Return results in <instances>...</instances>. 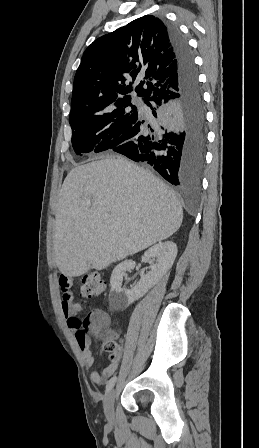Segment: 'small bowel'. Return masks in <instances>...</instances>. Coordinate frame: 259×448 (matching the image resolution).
<instances>
[{"label":"small bowel","mask_w":259,"mask_h":448,"mask_svg":"<svg viewBox=\"0 0 259 448\" xmlns=\"http://www.w3.org/2000/svg\"><path fill=\"white\" fill-rule=\"evenodd\" d=\"M72 282L73 278L70 276L63 274L58 276V284L62 290V311L69 328L76 331V339L85 361V365L88 368H91L95 364V357L91 350L90 339L87 336L80 335L81 321L78 318V314L82 311V306L74 300V294L71 289ZM115 337V333H111L109 336L111 339H114ZM121 356V352L111 355L109 363L101 371L91 373V381L98 385L103 384L118 369Z\"/></svg>","instance_id":"c3829d8e"}]
</instances>
